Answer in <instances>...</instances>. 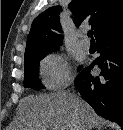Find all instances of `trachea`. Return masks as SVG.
Segmentation results:
<instances>
[{
	"instance_id": "1",
	"label": "trachea",
	"mask_w": 123,
	"mask_h": 130,
	"mask_svg": "<svg viewBox=\"0 0 123 130\" xmlns=\"http://www.w3.org/2000/svg\"><path fill=\"white\" fill-rule=\"evenodd\" d=\"M87 35H88V37H91V40H94L93 39V31H89Z\"/></svg>"
}]
</instances>
